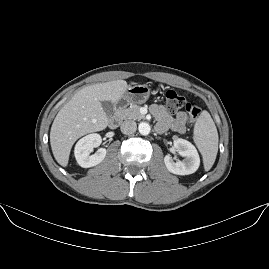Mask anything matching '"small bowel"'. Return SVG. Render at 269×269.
<instances>
[{
	"label": "small bowel",
	"mask_w": 269,
	"mask_h": 269,
	"mask_svg": "<svg viewBox=\"0 0 269 269\" xmlns=\"http://www.w3.org/2000/svg\"><path fill=\"white\" fill-rule=\"evenodd\" d=\"M151 112L158 121L156 125L157 132L163 133L169 128L179 133L186 131L187 115L185 112H179L172 118L160 104L152 105Z\"/></svg>",
	"instance_id": "obj_1"
}]
</instances>
